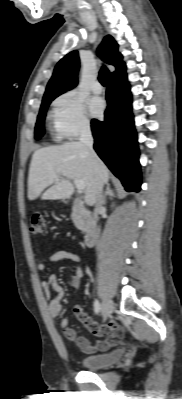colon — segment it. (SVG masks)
Instances as JSON below:
<instances>
[{
  "mask_svg": "<svg viewBox=\"0 0 182 399\" xmlns=\"http://www.w3.org/2000/svg\"><path fill=\"white\" fill-rule=\"evenodd\" d=\"M30 233L32 235H43L46 231V222L40 213H34L31 218Z\"/></svg>",
  "mask_w": 182,
  "mask_h": 399,
  "instance_id": "colon-1",
  "label": "colon"
}]
</instances>
